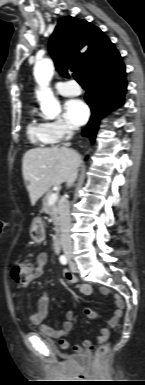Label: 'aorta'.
<instances>
[{
  "label": "aorta",
  "mask_w": 145,
  "mask_h": 385,
  "mask_svg": "<svg viewBox=\"0 0 145 385\" xmlns=\"http://www.w3.org/2000/svg\"><path fill=\"white\" fill-rule=\"evenodd\" d=\"M54 74L53 62L50 59L38 61L34 66V77L39 86L36 91L41 111L48 119L55 118L61 112L60 103L55 99L49 87Z\"/></svg>",
  "instance_id": "1"
}]
</instances>
